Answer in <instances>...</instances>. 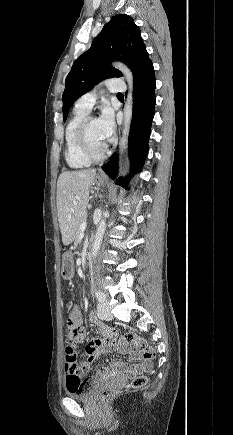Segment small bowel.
Segmentation results:
<instances>
[{"mask_svg": "<svg viewBox=\"0 0 233 435\" xmlns=\"http://www.w3.org/2000/svg\"><path fill=\"white\" fill-rule=\"evenodd\" d=\"M76 311L79 314V309L77 307ZM89 322L98 328L99 337H93L87 341L85 345L86 352V361L81 365V368L74 369L69 365H65V377H66V386H68V380L73 375H81L86 370L89 369V366L93 363V361L101 354L107 351H119L122 355H128L130 358L137 362L133 371H140L146 367L144 363L141 362L140 356L133 352L131 348L125 344L112 345L110 349L104 346L105 341L108 338V328L99 320L95 313H90ZM86 339V331L84 328H81L78 334L75 336V341L78 343L84 342ZM122 369V364L118 361H112L109 366L98 368L94 376L90 380H95L98 377L106 375L108 372H118ZM129 371V369L125 370Z\"/></svg>", "mask_w": 233, "mask_h": 435, "instance_id": "obj_1", "label": "small bowel"}]
</instances>
